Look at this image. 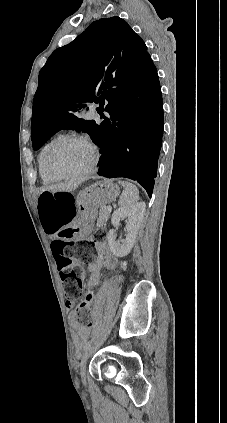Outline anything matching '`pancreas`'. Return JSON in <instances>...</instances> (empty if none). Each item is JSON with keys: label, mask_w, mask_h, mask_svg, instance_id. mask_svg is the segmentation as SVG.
<instances>
[{"label": "pancreas", "mask_w": 227, "mask_h": 423, "mask_svg": "<svg viewBox=\"0 0 227 423\" xmlns=\"http://www.w3.org/2000/svg\"><path fill=\"white\" fill-rule=\"evenodd\" d=\"M100 211H99V217L97 219V225H101V223H104V221H106L108 215H109V211L106 210L107 206H99Z\"/></svg>", "instance_id": "obj_1"}]
</instances>
